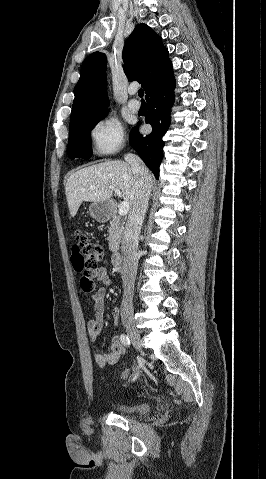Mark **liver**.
I'll return each instance as SVG.
<instances>
[{
  "mask_svg": "<svg viewBox=\"0 0 266 479\" xmlns=\"http://www.w3.org/2000/svg\"><path fill=\"white\" fill-rule=\"evenodd\" d=\"M135 181L130 164L118 160L106 161L76 171L67 179L65 187L70 215L74 217L84 201H109L113 194L109 186L122 191V197L129 203L131 209L136 193Z\"/></svg>",
  "mask_w": 266,
  "mask_h": 479,
  "instance_id": "1",
  "label": "liver"
}]
</instances>
